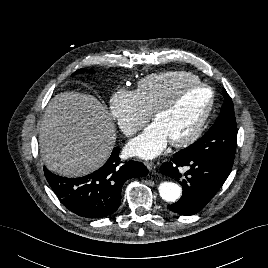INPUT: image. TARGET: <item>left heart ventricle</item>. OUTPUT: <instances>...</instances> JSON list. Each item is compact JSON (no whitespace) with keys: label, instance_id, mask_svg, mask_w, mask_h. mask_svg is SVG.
<instances>
[{"label":"left heart ventricle","instance_id":"1","mask_svg":"<svg viewBox=\"0 0 268 268\" xmlns=\"http://www.w3.org/2000/svg\"><path fill=\"white\" fill-rule=\"evenodd\" d=\"M209 97L210 92L205 88H190L181 94L178 104L170 112L156 120L169 141L181 139L191 131Z\"/></svg>","mask_w":268,"mask_h":268}]
</instances>
